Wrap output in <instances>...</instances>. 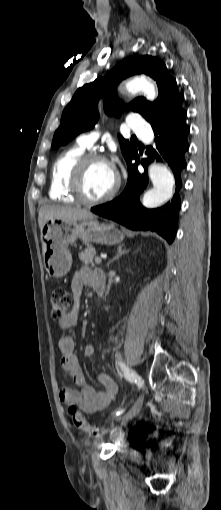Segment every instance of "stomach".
Instances as JSON below:
<instances>
[{"label":"stomach","instance_id":"stomach-1","mask_svg":"<svg viewBox=\"0 0 221 510\" xmlns=\"http://www.w3.org/2000/svg\"><path fill=\"white\" fill-rule=\"evenodd\" d=\"M77 239L87 244L116 245L124 239V234L114 224L94 219L76 222L49 219L41 229V242L43 261L50 276L61 278L69 272L72 265L69 245Z\"/></svg>","mask_w":221,"mask_h":510}]
</instances>
